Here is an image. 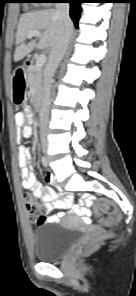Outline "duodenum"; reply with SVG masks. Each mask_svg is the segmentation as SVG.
Wrapping results in <instances>:
<instances>
[{
  "instance_id": "duodenum-1",
  "label": "duodenum",
  "mask_w": 136,
  "mask_h": 296,
  "mask_svg": "<svg viewBox=\"0 0 136 296\" xmlns=\"http://www.w3.org/2000/svg\"><path fill=\"white\" fill-rule=\"evenodd\" d=\"M25 67H30L31 66V60H26L25 62ZM24 67V69H25ZM22 67L16 69L15 71V78L17 79V81H20L22 82L23 81V76H24V73H23V70H24Z\"/></svg>"
}]
</instances>
